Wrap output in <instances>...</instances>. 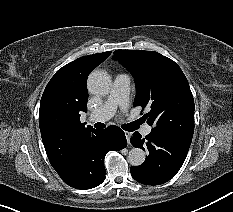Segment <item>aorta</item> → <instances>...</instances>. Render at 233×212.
Segmentation results:
<instances>
[{
  "label": "aorta",
  "mask_w": 233,
  "mask_h": 212,
  "mask_svg": "<svg viewBox=\"0 0 233 212\" xmlns=\"http://www.w3.org/2000/svg\"><path fill=\"white\" fill-rule=\"evenodd\" d=\"M87 86L92 94L106 95L111 90V79L106 72L93 71L88 77ZM145 158V152L140 148H132L128 153V162L132 166H140Z\"/></svg>",
  "instance_id": "762f6f07"
}]
</instances>
